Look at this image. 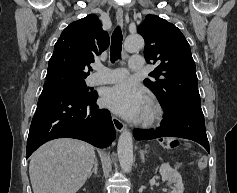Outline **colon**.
<instances>
[{
  "label": "colon",
  "mask_w": 237,
  "mask_h": 193,
  "mask_svg": "<svg viewBox=\"0 0 237 193\" xmlns=\"http://www.w3.org/2000/svg\"><path fill=\"white\" fill-rule=\"evenodd\" d=\"M164 145L166 147L174 148L179 145V142L176 139H167L164 141ZM207 163H208V160L205 156L199 157L198 162H197L199 171H204L207 167Z\"/></svg>",
  "instance_id": "obj_1"
}]
</instances>
